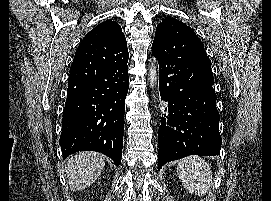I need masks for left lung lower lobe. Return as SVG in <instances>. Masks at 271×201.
<instances>
[{
	"label": "left lung lower lobe",
	"mask_w": 271,
	"mask_h": 201,
	"mask_svg": "<svg viewBox=\"0 0 271 201\" xmlns=\"http://www.w3.org/2000/svg\"><path fill=\"white\" fill-rule=\"evenodd\" d=\"M159 63L162 100L167 102L158 130V169L188 155L220 153L216 93L200 64L194 38L186 28L162 45H152Z\"/></svg>",
	"instance_id": "0a47b994"
}]
</instances>
